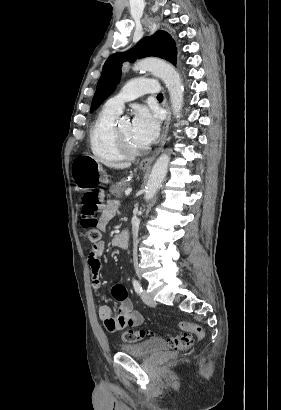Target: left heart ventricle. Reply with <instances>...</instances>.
I'll return each mask as SVG.
<instances>
[{
    "label": "left heart ventricle",
    "instance_id": "1",
    "mask_svg": "<svg viewBox=\"0 0 281 410\" xmlns=\"http://www.w3.org/2000/svg\"><path fill=\"white\" fill-rule=\"evenodd\" d=\"M119 131L121 135L128 141V143L134 148H143L133 137L132 125L129 121H121L119 123Z\"/></svg>",
    "mask_w": 281,
    "mask_h": 410
}]
</instances>
